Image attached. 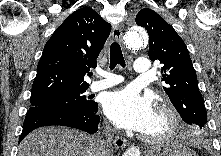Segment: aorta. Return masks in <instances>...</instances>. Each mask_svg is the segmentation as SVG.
Returning a JSON list of instances; mask_svg holds the SVG:
<instances>
[{
  "label": "aorta",
  "instance_id": "1",
  "mask_svg": "<svg viewBox=\"0 0 221 156\" xmlns=\"http://www.w3.org/2000/svg\"><path fill=\"white\" fill-rule=\"evenodd\" d=\"M126 47L130 50H139L148 44V36L144 29L132 27L124 35ZM125 156H140V153H126Z\"/></svg>",
  "mask_w": 221,
  "mask_h": 156
}]
</instances>
